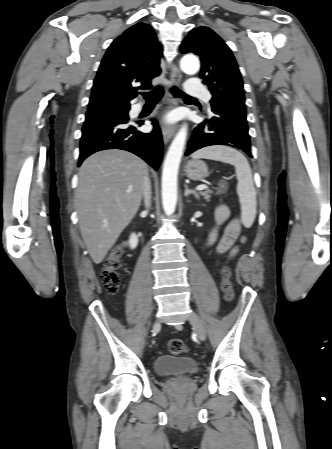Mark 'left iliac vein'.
<instances>
[{
	"instance_id": "4c4485c4",
	"label": "left iliac vein",
	"mask_w": 332,
	"mask_h": 449,
	"mask_svg": "<svg viewBox=\"0 0 332 449\" xmlns=\"http://www.w3.org/2000/svg\"><path fill=\"white\" fill-rule=\"evenodd\" d=\"M189 321L194 327L198 338L201 341H204L206 339V331L199 316L196 313H191L189 316Z\"/></svg>"
}]
</instances>
